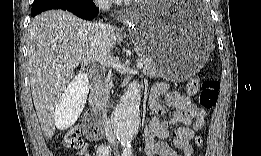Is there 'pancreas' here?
Returning a JSON list of instances; mask_svg holds the SVG:
<instances>
[{
	"label": "pancreas",
	"mask_w": 261,
	"mask_h": 156,
	"mask_svg": "<svg viewBox=\"0 0 261 156\" xmlns=\"http://www.w3.org/2000/svg\"><path fill=\"white\" fill-rule=\"evenodd\" d=\"M138 61H142L144 63L143 73L149 77H157L159 76L158 69L153 65L150 58L147 56L140 54ZM113 86L111 81V74L104 80H99L93 92L94 102L100 106H104L109 99V91Z\"/></svg>",
	"instance_id": "pancreas-1"
}]
</instances>
